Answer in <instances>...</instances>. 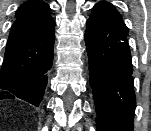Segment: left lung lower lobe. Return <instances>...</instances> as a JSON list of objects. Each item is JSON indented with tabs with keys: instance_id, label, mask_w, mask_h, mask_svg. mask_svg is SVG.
<instances>
[{
	"instance_id": "1",
	"label": "left lung lower lobe",
	"mask_w": 151,
	"mask_h": 131,
	"mask_svg": "<svg viewBox=\"0 0 151 131\" xmlns=\"http://www.w3.org/2000/svg\"><path fill=\"white\" fill-rule=\"evenodd\" d=\"M128 27L108 2L93 8L85 43L98 131H133L135 94Z\"/></svg>"
}]
</instances>
